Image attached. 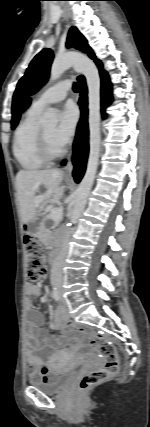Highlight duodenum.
Here are the masks:
<instances>
[{
	"label": "duodenum",
	"instance_id": "duodenum-1",
	"mask_svg": "<svg viewBox=\"0 0 150 427\" xmlns=\"http://www.w3.org/2000/svg\"><path fill=\"white\" fill-rule=\"evenodd\" d=\"M56 260H57V254L56 253H52L51 256H50V264L52 266H54L55 263H56Z\"/></svg>",
	"mask_w": 150,
	"mask_h": 427
}]
</instances>
